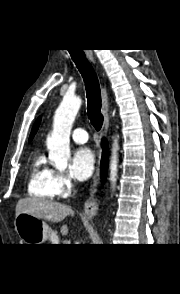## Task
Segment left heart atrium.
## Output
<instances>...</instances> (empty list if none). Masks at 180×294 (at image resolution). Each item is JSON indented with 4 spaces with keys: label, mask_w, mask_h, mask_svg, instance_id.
Masks as SVG:
<instances>
[{
    "label": "left heart atrium",
    "mask_w": 180,
    "mask_h": 294,
    "mask_svg": "<svg viewBox=\"0 0 180 294\" xmlns=\"http://www.w3.org/2000/svg\"><path fill=\"white\" fill-rule=\"evenodd\" d=\"M95 167V155L91 149L83 147L78 149L72 158L71 173L78 180L88 179Z\"/></svg>",
    "instance_id": "left-heart-atrium-1"
}]
</instances>
